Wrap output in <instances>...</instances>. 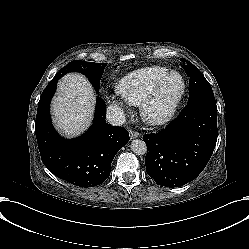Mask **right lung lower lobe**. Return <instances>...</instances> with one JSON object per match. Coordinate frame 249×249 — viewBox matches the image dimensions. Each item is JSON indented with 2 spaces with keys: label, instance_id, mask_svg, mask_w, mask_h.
<instances>
[{
  "label": "right lung lower lobe",
  "instance_id": "98d812e1",
  "mask_svg": "<svg viewBox=\"0 0 249 249\" xmlns=\"http://www.w3.org/2000/svg\"><path fill=\"white\" fill-rule=\"evenodd\" d=\"M60 74L44 89L35 122V133L42 162L58 178L80 187L103 183L110 175L116 153L129 141V133L106 123V106L97 96L95 119L86 133L64 139L54 130L50 118V101Z\"/></svg>",
  "mask_w": 249,
  "mask_h": 249
}]
</instances>
